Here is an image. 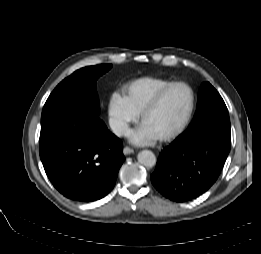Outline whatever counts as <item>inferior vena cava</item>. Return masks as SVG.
I'll use <instances>...</instances> for the list:
<instances>
[{
	"label": "inferior vena cava",
	"mask_w": 261,
	"mask_h": 254,
	"mask_svg": "<svg viewBox=\"0 0 261 254\" xmlns=\"http://www.w3.org/2000/svg\"><path fill=\"white\" fill-rule=\"evenodd\" d=\"M109 125L113 133L117 136H123L128 131L127 124L124 121L117 118H110Z\"/></svg>",
	"instance_id": "1"
}]
</instances>
